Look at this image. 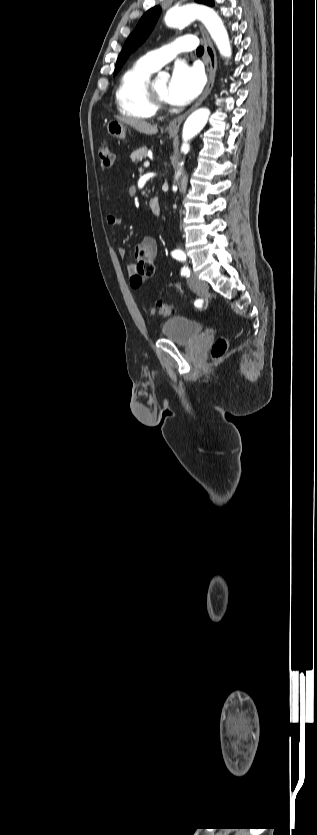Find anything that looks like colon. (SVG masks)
<instances>
[{
  "mask_svg": "<svg viewBox=\"0 0 317 835\" xmlns=\"http://www.w3.org/2000/svg\"><path fill=\"white\" fill-rule=\"evenodd\" d=\"M99 157L102 164L109 168L113 165L115 154L113 148L109 144H102L99 147ZM155 272L154 263L150 261L140 260L135 266V270L130 277V285L133 289H139L143 286L145 280L150 278ZM152 314L160 317H168L174 314L175 308L171 303H159L152 309ZM228 349V341L224 338L218 339L212 347V357H222Z\"/></svg>",
  "mask_w": 317,
  "mask_h": 835,
  "instance_id": "5ec220e1",
  "label": "colon"
}]
</instances>
